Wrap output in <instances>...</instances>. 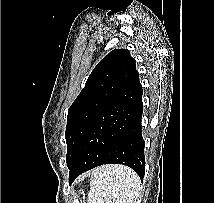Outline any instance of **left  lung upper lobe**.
Segmentation results:
<instances>
[{
  "instance_id": "obj_1",
  "label": "left lung upper lobe",
  "mask_w": 214,
  "mask_h": 203,
  "mask_svg": "<svg viewBox=\"0 0 214 203\" xmlns=\"http://www.w3.org/2000/svg\"><path fill=\"white\" fill-rule=\"evenodd\" d=\"M136 73L127 49H115L93 69L85 87L68 110L65 138L66 161H73L90 125Z\"/></svg>"
}]
</instances>
